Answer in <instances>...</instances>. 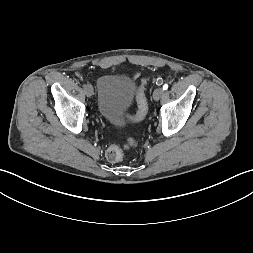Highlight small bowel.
<instances>
[{"label":"small bowel","instance_id":"small-bowel-1","mask_svg":"<svg viewBox=\"0 0 253 253\" xmlns=\"http://www.w3.org/2000/svg\"><path fill=\"white\" fill-rule=\"evenodd\" d=\"M136 77H137V74L134 75V78H136Z\"/></svg>","mask_w":253,"mask_h":253}]
</instances>
